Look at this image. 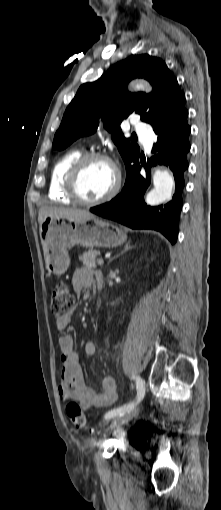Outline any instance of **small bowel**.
Returning a JSON list of instances; mask_svg holds the SVG:
<instances>
[{
    "mask_svg": "<svg viewBox=\"0 0 221 510\" xmlns=\"http://www.w3.org/2000/svg\"><path fill=\"white\" fill-rule=\"evenodd\" d=\"M96 274L89 267H80L72 276V287L76 293L95 284ZM74 314L68 312L57 318L56 327L65 330L73 324ZM61 361V383L58 387V395L63 401H74L86 410L103 409L112 405L117 398L115 381L104 376L95 390L86 383L84 372L80 364L79 356L74 349V339L71 335H63L59 339ZM96 351L93 342H87L84 352L92 356Z\"/></svg>",
    "mask_w": 221,
    "mask_h": 510,
    "instance_id": "c3829d8e",
    "label": "small bowel"
}]
</instances>
